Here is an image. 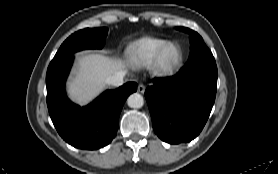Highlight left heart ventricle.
<instances>
[{
  "instance_id": "obj_1",
  "label": "left heart ventricle",
  "mask_w": 278,
  "mask_h": 174,
  "mask_svg": "<svg viewBox=\"0 0 278 174\" xmlns=\"http://www.w3.org/2000/svg\"><path fill=\"white\" fill-rule=\"evenodd\" d=\"M178 57V49L176 47H170L166 50L163 61L166 65L172 64Z\"/></svg>"
}]
</instances>
